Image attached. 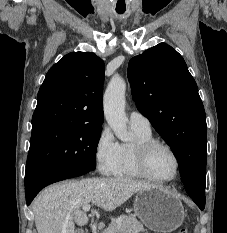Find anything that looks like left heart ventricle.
<instances>
[{
	"label": "left heart ventricle",
	"mask_w": 227,
	"mask_h": 233,
	"mask_svg": "<svg viewBox=\"0 0 227 233\" xmlns=\"http://www.w3.org/2000/svg\"><path fill=\"white\" fill-rule=\"evenodd\" d=\"M149 168L159 178H171L175 173V160L168 150L158 148L149 158Z\"/></svg>",
	"instance_id": "obj_1"
}]
</instances>
